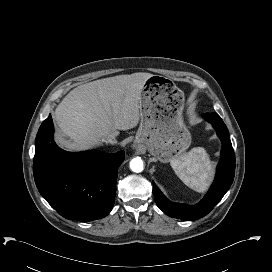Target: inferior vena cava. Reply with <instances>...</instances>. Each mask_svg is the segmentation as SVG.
<instances>
[{"label":"inferior vena cava","mask_w":272,"mask_h":272,"mask_svg":"<svg viewBox=\"0 0 272 272\" xmlns=\"http://www.w3.org/2000/svg\"><path fill=\"white\" fill-rule=\"evenodd\" d=\"M105 142L110 143V144H116L117 140L114 135L110 134L105 138Z\"/></svg>","instance_id":"inferior-vena-cava-1"}]
</instances>
